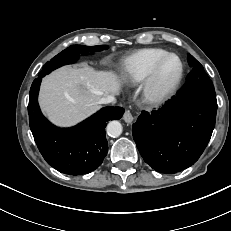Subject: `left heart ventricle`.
I'll return each instance as SVG.
<instances>
[{"mask_svg":"<svg viewBox=\"0 0 231 231\" xmlns=\"http://www.w3.org/2000/svg\"><path fill=\"white\" fill-rule=\"evenodd\" d=\"M179 61L175 57L169 58L162 66L158 82L161 86L171 83L179 72Z\"/></svg>","mask_w":231,"mask_h":231,"instance_id":"1","label":"left heart ventricle"}]
</instances>
